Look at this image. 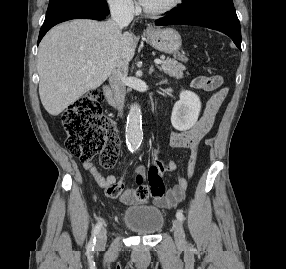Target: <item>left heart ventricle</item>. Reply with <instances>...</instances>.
<instances>
[{
    "label": "left heart ventricle",
    "mask_w": 286,
    "mask_h": 269,
    "mask_svg": "<svg viewBox=\"0 0 286 269\" xmlns=\"http://www.w3.org/2000/svg\"><path fill=\"white\" fill-rule=\"evenodd\" d=\"M172 0H144L142 4L149 9H158L164 7Z\"/></svg>",
    "instance_id": "b2bd125f"
}]
</instances>
